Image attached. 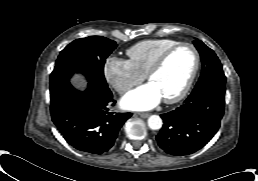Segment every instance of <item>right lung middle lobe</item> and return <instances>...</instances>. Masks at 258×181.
Listing matches in <instances>:
<instances>
[{
	"label": "right lung middle lobe",
	"mask_w": 258,
	"mask_h": 181,
	"mask_svg": "<svg viewBox=\"0 0 258 181\" xmlns=\"http://www.w3.org/2000/svg\"><path fill=\"white\" fill-rule=\"evenodd\" d=\"M116 47V42L102 36L77 39L60 52L55 68L80 72L91 83L107 85L103 68L106 58Z\"/></svg>",
	"instance_id": "1"
}]
</instances>
